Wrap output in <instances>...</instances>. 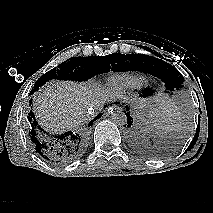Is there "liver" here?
<instances>
[{
    "label": "liver",
    "instance_id": "6515ba94",
    "mask_svg": "<svg viewBox=\"0 0 213 213\" xmlns=\"http://www.w3.org/2000/svg\"><path fill=\"white\" fill-rule=\"evenodd\" d=\"M106 98L102 91L93 93L86 85L56 81L37 95L36 116L47 130L64 132L88 121L87 109H98Z\"/></svg>",
    "mask_w": 213,
    "mask_h": 213
}]
</instances>
